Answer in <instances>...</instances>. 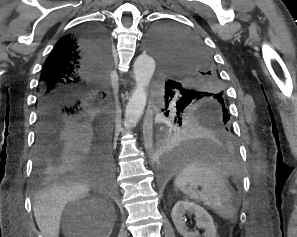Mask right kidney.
<instances>
[{
  "label": "right kidney",
  "mask_w": 297,
  "mask_h": 237,
  "mask_svg": "<svg viewBox=\"0 0 297 237\" xmlns=\"http://www.w3.org/2000/svg\"><path fill=\"white\" fill-rule=\"evenodd\" d=\"M98 236H100L98 233H93V234L91 235V237H98ZM106 237H109V236L106 235Z\"/></svg>",
  "instance_id": "1"
}]
</instances>
